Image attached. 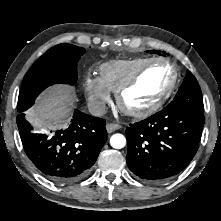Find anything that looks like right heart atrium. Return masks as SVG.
<instances>
[{
  "instance_id": "1",
  "label": "right heart atrium",
  "mask_w": 221,
  "mask_h": 221,
  "mask_svg": "<svg viewBox=\"0 0 221 221\" xmlns=\"http://www.w3.org/2000/svg\"><path fill=\"white\" fill-rule=\"evenodd\" d=\"M83 85L90 106L101 112L111 99V91L99 77L87 76Z\"/></svg>"
}]
</instances>
